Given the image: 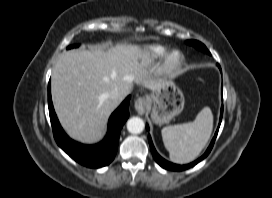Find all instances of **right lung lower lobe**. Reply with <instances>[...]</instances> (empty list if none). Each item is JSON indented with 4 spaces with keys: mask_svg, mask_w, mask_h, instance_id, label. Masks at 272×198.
<instances>
[{
    "mask_svg": "<svg viewBox=\"0 0 272 198\" xmlns=\"http://www.w3.org/2000/svg\"><path fill=\"white\" fill-rule=\"evenodd\" d=\"M130 96L114 111L109 119L108 133L104 140L96 145H83L70 139L63 131L54 112L50 82L48 85V106L49 115L53 129L54 138L59 145L71 158L78 163L90 167L99 168L108 165L114 159L121 128L129 117Z\"/></svg>",
    "mask_w": 272,
    "mask_h": 198,
    "instance_id": "obj_1",
    "label": "right lung lower lobe"
}]
</instances>
